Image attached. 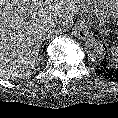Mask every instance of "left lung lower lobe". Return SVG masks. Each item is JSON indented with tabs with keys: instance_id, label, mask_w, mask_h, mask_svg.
<instances>
[{
	"instance_id": "left-lung-lower-lobe-1",
	"label": "left lung lower lobe",
	"mask_w": 118,
	"mask_h": 118,
	"mask_svg": "<svg viewBox=\"0 0 118 118\" xmlns=\"http://www.w3.org/2000/svg\"><path fill=\"white\" fill-rule=\"evenodd\" d=\"M96 74L110 82H118V68H113L109 60H104L96 69Z\"/></svg>"
}]
</instances>
